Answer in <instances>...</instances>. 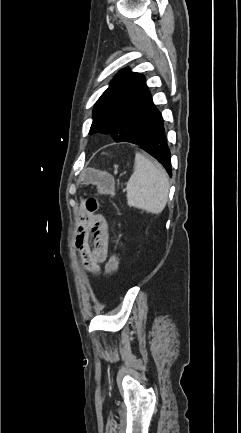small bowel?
Here are the masks:
<instances>
[{
	"label": "small bowel",
	"mask_w": 241,
	"mask_h": 433,
	"mask_svg": "<svg viewBox=\"0 0 241 433\" xmlns=\"http://www.w3.org/2000/svg\"><path fill=\"white\" fill-rule=\"evenodd\" d=\"M84 200L76 216V246L79 250L83 267L92 274L100 272V265L107 260L110 233L106 218L97 211L89 209V201ZM92 239V245L90 244Z\"/></svg>",
	"instance_id": "small-bowel-1"
}]
</instances>
